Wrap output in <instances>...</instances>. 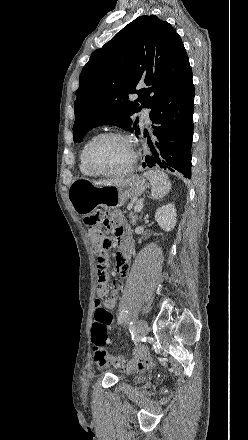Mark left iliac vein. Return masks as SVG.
<instances>
[{"mask_svg":"<svg viewBox=\"0 0 248 440\" xmlns=\"http://www.w3.org/2000/svg\"><path fill=\"white\" fill-rule=\"evenodd\" d=\"M137 333L140 337L145 336L148 333V324L144 319H140L136 325Z\"/></svg>","mask_w":248,"mask_h":440,"instance_id":"obj_1","label":"left iliac vein"}]
</instances>
